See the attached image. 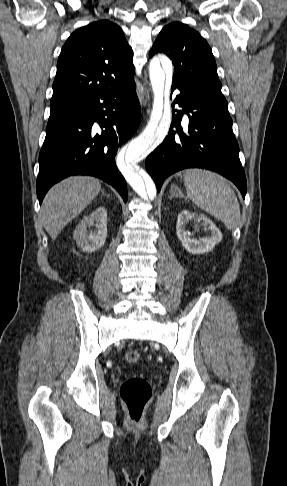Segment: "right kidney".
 I'll return each instance as SVG.
<instances>
[{"instance_id":"right-kidney-1","label":"right kidney","mask_w":287,"mask_h":486,"mask_svg":"<svg viewBox=\"0 0 287 486\" xmlns=\"http://www.w3.org/2000/svg\"><path fill=\"white\" fill-rule=\"evenodd\" d=\"M94 231H88L92 226ZM107 237V210L105 207H98L89 215L83 217L73 232V238L78 247L84 252H94L100 249Z\"/></svg>"}]
</instances>
